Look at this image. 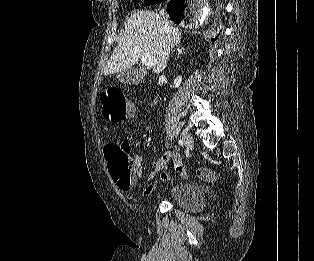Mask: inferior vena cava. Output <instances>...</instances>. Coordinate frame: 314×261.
Masks as SVG:
<instances>
[{"mask_svg": "<svg viewBox=\"0 0 314 261\" xmlns=\"http://www.w3.org/2000/svg\"><path fill=\"white\" fill-rule=\"evenodd\" d=\"M161 14H162V11H161ZM173 47H174L173 43H170L169 44V50L172 51Z\"/></svg>", "mask_w": 314, "mask_h": 261, "instance_id": "inferior-vena-cava-1", "label": "inferior vena cava"}]
</instances>
